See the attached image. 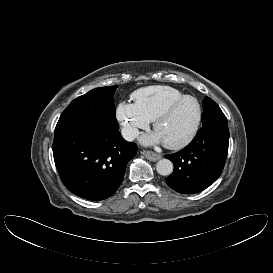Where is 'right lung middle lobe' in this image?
Listing matches in <instances>:
<instances>
[{"label":"right lung middle lobe","instance_id":"obj_1","mask_svg":"<svg viewBox=\"0 0 273 273\" xmlns=\"http://www.w3.org/2000/svg\"><path fill=\"white\" fill-rule=\"evenodd\" d=\"M117 86L93 89L73 100L61 114L55 132L75 126L118 130L113 95Z\"/></svg>","mask_w":273,"mask_h":273}]
</instances>
